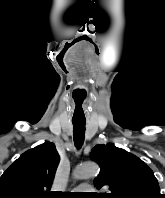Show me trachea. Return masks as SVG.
<instances>
[{"label":"trachea","instance_id":"obj_1","mask_svg":"<svg viewBox=\"0 0 165 198\" xmlns=\"http://www.w3.org/2000/svg\"><path fill=\"white\" fill-rule=\"evenodd\" d=\"M73 123V138L77 148H81L85 138V124L84 121H72Z\"/></svg>","mask_w":165,"mask_h":198}]
</instances>
